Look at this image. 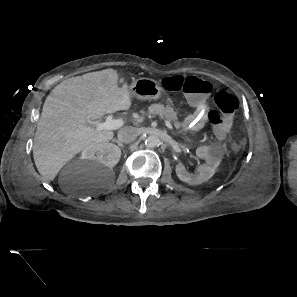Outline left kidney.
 I'll list each match as a JSON object with an SVG mask.
<instances>
[{
  "mask_svg": "<svg viewBox=\"0 0 297 297\" xmlns=\"http://www.w3.org/2000/svg\"><path fill=\"white\" fill-rule=\"evenodd\" d=\"M196 155L206 161L205 164L197 168L196 174L189 173L182 164H177L175 167L178 178L189 185H199L209 180L221 162L220 155L211 146L198 147Z\"/></svg>",
  "mask_w": 297,
  "mask_h": 297,
  "instance_id": "1",
  "label": "left kidney"
}]
</instances>
